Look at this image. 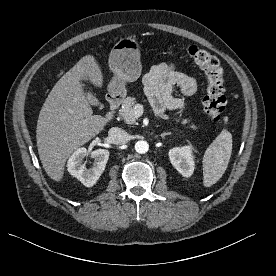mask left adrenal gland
<instances>
[{"instance_id":"obj_1","label":"left adrenal gland","mask_w":276,"mask_h":276,"mask_svg":"<svg viewBox=\"0 0 276 276\" xmlns=\"http://www.w3.org/2000/svg\"><path fill=\"white\" fill-rule=\"evenodd\" d=\"M167 135H171V133L170 132H167V133L165 132V133H162L160 136H161V138H164Z\"/></svg>"}]
</instances>
